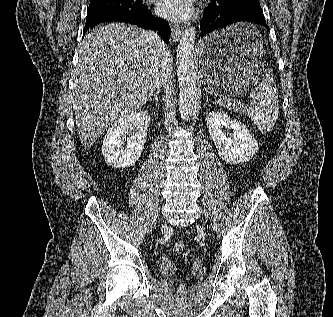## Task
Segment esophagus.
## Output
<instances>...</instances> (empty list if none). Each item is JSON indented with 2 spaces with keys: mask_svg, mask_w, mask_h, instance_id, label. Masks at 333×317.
<instances>
[{
  "mask_svg": "<svg viewBox=\"0 0 333 317\" xmlns=\"http://www.w3.org/2000/svg\"><path fill=\"white\" fill-rule=\"evenodd\" d=\"M182 33H183V29L181 26H179V25L171 26V36H172L174 42H177L180 39Z\"/></svg>",
  "mask_w": 333,
  "mask_h": 317,
  "instance_id": "obj_1",
  "label": "esophagus"
}]
</instances>
